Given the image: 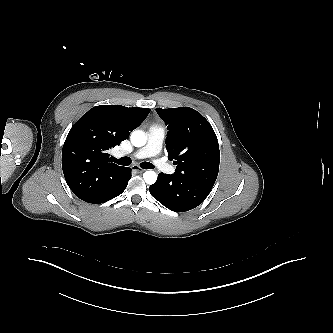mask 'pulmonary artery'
I'll return each mask as SVG.
<instances>
[{"mask_svg": "<svg viewBox=\"0 0 333 333\" xmlns=\"http://www.w3.org/2000/svg\"><path fill=\"white\" fill-rule=\"evenodd\" d=\"M165 135L166 132L163 127L161 126L150 127L148 132L147 144L143 148L133 152L132 156L136 159L152 158V164L155 166V168L165 173L172 174L175 172V168L170 164L162 161L161 159L156 158V156L161 151Z\"/></svg>", "mask_w": 333, "mask_h": 333, "instance_id": "e3ab8cb5", "label": "pulmonary artery"}]
</instances>
